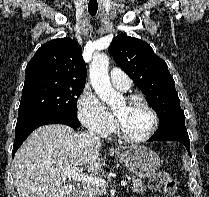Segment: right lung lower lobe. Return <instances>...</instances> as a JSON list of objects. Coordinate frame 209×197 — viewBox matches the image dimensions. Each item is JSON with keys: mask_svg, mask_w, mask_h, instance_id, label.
Returning <instances> with one entry per match:
<instances>
[{"mask_svg": "<svg viewBox=\"0 0 209 197\" xmlns=\"http://www.w3.org/2000/svg\"><path fill=\"white\" fill-rule=\"evenodd\" d=\"M46 124H65L73 128L80 126L77 117L63 115L60 113H48L34 116L17 122L15 128V141L13 145L12 157L23 141L38 127Z\"/></svg>", "mask_w": 209, "mask_h": 197, "instance_id": "obj_1", "label": "right lung lower lobe"}]
</instances>
